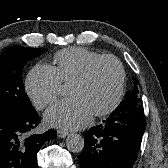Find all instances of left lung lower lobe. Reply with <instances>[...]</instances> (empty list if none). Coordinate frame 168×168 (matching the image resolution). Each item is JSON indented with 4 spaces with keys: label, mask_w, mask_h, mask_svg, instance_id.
I'll use <instances>...</instances> for the list:
<instances>
[{
    "label": "left lung lower lobe",
    "mask_w": 168,
    "mask_h": 168,
    "mask_svg": "<svg viewBox=\"0 0 168 168\" xmlns=\"http://www.w3.org/2000/svg\"><path fill=\"white\" fill-rule=\"evenodd\" d=\"M145 128L143 106L117 107L102 124L85 132L80 168H132Z\"/></svg>",
    "instance_id": "obj_1"
}]
</instances>
